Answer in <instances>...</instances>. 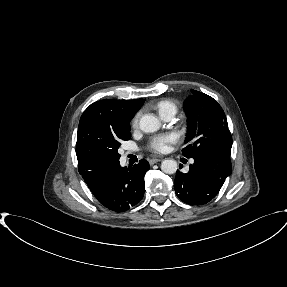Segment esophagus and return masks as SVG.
<instances>
[{
    "label": "esophagus",
    "instance_id": "esophagus-1",
    "mask_svg": "<svg viewBox=\"0 0 287 287\" xmlns=\"http://www.w3.org/2000/svg\"><path fill=\"white\" fill-rule=\"evenodd\" d=\"M162 160V157L160 156V157H154V158H151L150 160H149V163L151 164V165H153V164H155V163H157V162H159V161H161Z\"/></svg>",
    "mask_w": 287,
    "mask_h": 287
}]
</instances>
